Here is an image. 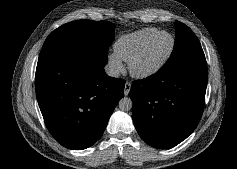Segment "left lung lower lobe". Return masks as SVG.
<instances>
[{
	"label": "left lung lower lobe",
	"mask_w": 237,
	"mask_h": 169,
	"mask_svg": "<svg viewBox=\"0 0 237 169\" xmlns=\"http://www.w3.org/2000/svg\"><path fill=\"white\" fill-rule=\"evenodd\" d=\"M206 60L185 62L172 70L134 81L130 97L134 125L150 146L168 149L196 128L204 107Z\"/></svg>",
	"instance_id": "1"
}]
</instances>
